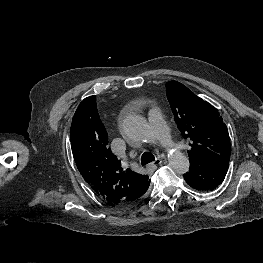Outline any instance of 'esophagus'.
Listing matches in <instances>:
<instances>
[{
	"mask_svg": "<svg viewBox=\"0 0 263 263\" xmlns=\"http://www.w3.org/2000/svg\"><path fill=\"white\" fill-rule=\"evenodd\" d=\"M161 163H162V160L160 158H157L155 161L148 164L147 169L149 170L156 169Z\"/></svg>",
	"mask_w": 263,
	"mask_h": 263,
	"instance_id": "34e87169",
	"label": "esophagus"
}]
</instances>
